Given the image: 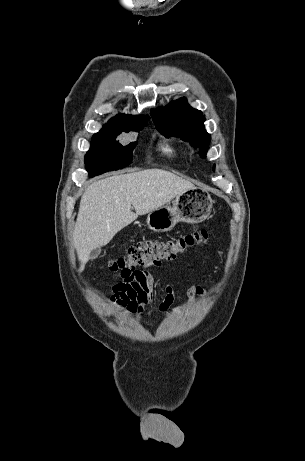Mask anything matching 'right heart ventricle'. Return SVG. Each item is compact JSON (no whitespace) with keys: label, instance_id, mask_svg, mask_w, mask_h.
Instances as JSON below:
<instances>
[{"label":"right heart ventricle","instance_id":"right-heart-ventricle-1","mask_svg":"<svg viewBox=\"0 0 305 461\" xmlns=\"http://www.w3.org/2000/svg\"><path fill=\"white\" fill-rule=\"evenodd\" d=\"M161 149L167 155H174L176 152L175 148L169 144L162 145Z\"/></svg>","mask_w":305,"mask_h":461}]
</instances>
